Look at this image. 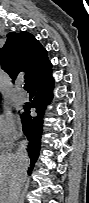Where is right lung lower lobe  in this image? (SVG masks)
I'll list each match as a JSON object with an SVG mask.
<instances>
[{
    "mask_svg": "<svg viewBox=\"0 0 89 203\" xmlns=\"http://www.w3.org/2000/svg\"><path fill=\"white\" fill-rule=\"evenodd\" d=\"M34 92L35 97L30 105L24 107L25 112L21 116L23 132L28 138V153L30 157L31 167L28 174H31L32 166L39 156L40 139L43 131V116L52 98V90L54 88V80L52 78V69L41 74L29 86ZM30 109H34L36 116H30Z\"/></svg>",
    "mask_w": 89,
    "mask_h": 203,
    "instance_id": "98d812e1",
    "label": "right lung lower lobe"
}]
</instances>
